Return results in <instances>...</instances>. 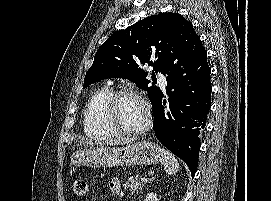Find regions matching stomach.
Instances as JSON below:
<instances>
[{
    "mask_svg": "<svg viewBox=\"0 0 271 201\" xmlns=\"http://www.w3.org/2000/svg\"><path fill=\"white\" fill-rule=\"evenodd\" d=\"M161 148L150 141H139L125 147L96 146L76 150L70 157V166L94 168L152 165L161 161Z\"/></svg>",
    "mask_w": 271,
    "mask_h": 201,
    "instance_id": "0dacf381",
    "label": "stomach"
}]
</instances>
